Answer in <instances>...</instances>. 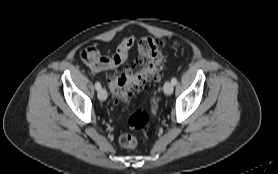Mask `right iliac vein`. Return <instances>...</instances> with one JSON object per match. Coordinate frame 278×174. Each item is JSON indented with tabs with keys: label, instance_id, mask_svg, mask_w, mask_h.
Returning <instances> with one entry per match:
<instances>
[{
	"label": "right iliac vein",
	"instance_id": "right-iliac-vein-1",
	"mask_svg": "<svg viewBox=\"0 0 278 174\" xmlns=\"http://www.w3.org/2000/svg\"><path fill=\"white\" fill-rule=\"evenodd\" d=\"M98 98H99V100H101V101H105V100H106V98H107V92H106L105 89H100V90L98 91Z\"/></svg>",
	"mask_w": 278,
	"mask_h": 174
}]
</instances>
